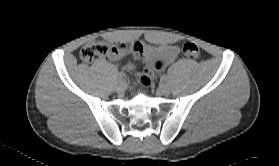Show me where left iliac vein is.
I'll use <instances>...</instances> for the list:
<instances>
[{
	"instance_id": "1",
	"label": "left iliac vein",
	"mask_w": 279,
	"mask_h": 166,
	"mask_svg": "<svg viewBox=\"0 0 279 166\" xmlns=\"http://www.w3.org/2000/svg\"><path fill=\"white\" fill-rule=\"evenodd\" d=\"M159 93L162 95H169L171 93V89L167 84H160L158 88Z\"/></svg>"
}]
</instances>
